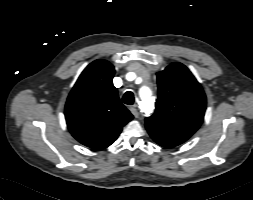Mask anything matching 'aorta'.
Instances as JSON below:
<instances>
[{
  "label": "aorta",
  "instance_id": "762f6f07",
  "mask_svg": "<svg viewBox=\"0 0 253 200\" xmlns=\"http://www.w3.org/2000/svg\"><path fill=\"white\" fill-rule=\"evenodd\" d=\"M140 97L142 99L140 103L141 111L144 113L145 116H150L153 114L155 105H154V98L152 96V92L150 88L144 86L139 91Z\"/></svg>",
  "mask_w": 253,
  "mask_h": 200
}]
</instances>
